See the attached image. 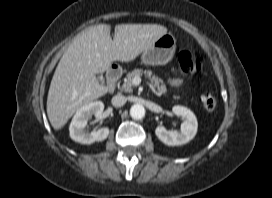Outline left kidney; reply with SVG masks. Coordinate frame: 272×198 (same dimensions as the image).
<instances>
[{
  "instance_id": "left-kidney-1",
  "label": "left kidney",
  "mask_w": 272,
  "mask_h": 198,
  "mask_svg": "<svg viewBox=\"0 0 272 198\" xmlns=\"http://www.w3.org/2000/svg\"><path fill=\"white\" fill-rule=\"evenodd\" d=\"M173 113L183 119L180 127V132L168 131L164 126H158L155 129V134L160 141L168 146H178L188 143L192 140L198 128V122L195 114L184 106H174Z\"/></svg>"
}]
</instances>
